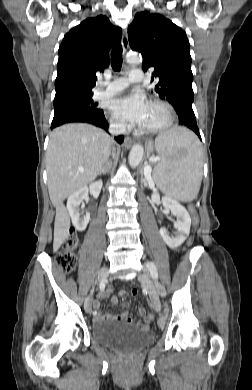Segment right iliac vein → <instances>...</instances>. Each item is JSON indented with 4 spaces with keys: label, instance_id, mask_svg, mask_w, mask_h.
Masks as SVG:
<instances>
[{
    "label": "right iliac vein",
    "instance_id": "1",
    "mask_svg": "<svg viewBox=\"0 0 252 390\" xmlns=\"http://www.w3.org/2000/svg\"><path fill=\"white\" fill-rule=\"evenodd\" d=\"M107 276H108V269L106 267L101 268L98 272L97 282H101V277H104V279H106ZM84 308L86 312L90 313L92 311V294L85 299Z\"/></svg>",
    "mask_w": 252,
    "mask_h": 390
}]
</instances>
